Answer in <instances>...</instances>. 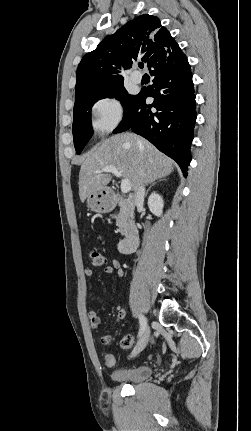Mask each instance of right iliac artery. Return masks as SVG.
I'll return each mask as SVG.
<instances>
[{"label": "right iliac artery", "mask_w": 251, "mask_h": 431, "mask_svg": "<svg viewBox=\"0 0 251 431\" xmlns=\"http://www.w3.org/2000/svg\"><path fill=\"white\" fill-rule=\"evenodd\" d=\"M139 323H140L139 335H141L147 326V321L143 315H139Z\"/></svg>", "instance_id": "1"}]
</instances>
